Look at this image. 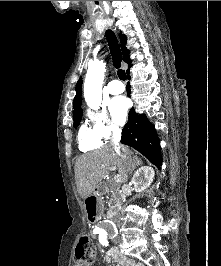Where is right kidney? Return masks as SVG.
<instances>
[{"label": "right kidney", "instance_id": "ca27d5eb", "mask_svg": "<svg viewBox=\"0 0 221 266\" xmlns=\"http://www.w3.org/2000/svg\"><path fill=\"white\" fill-rule=\"evenodd\" d=\"M154 175L155 172L152 167L143 166L139 168L132 178V183L134 185L135 191L142 192L146 188H148L153 182Z\"/></svg>", "mask_w": 221, "mask_h": 266}]
</instances>
